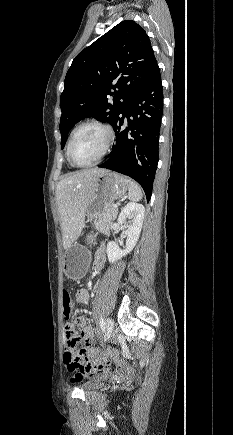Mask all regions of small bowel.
<instances>
[{
	"label": "small bowel",
	"mask_w": 233,
	"mask_h": 435,
	"mask_svg": "<svg viewBox=\"0 0 233 435\" xmlns=\"http://www.w3.org/2000/svg\"><path fill=\"white\" fill-rule=\"evenodd\" d=\"M106 261V255L103 249H100L95 254V259L93 262L92 267V273L98 274L101 272V270L104 267ZM75 299L78 304L85 305L88 303L90 299L89 291L85 288H81L77 290L75 294ZM73 323L76 324L81 328L82 331V338L85 342V347L81 349L83 351V359L81 364L74 370L70 371V373L76 375V376H91L93 374H101L102 370L100 372L96 371H88L86 370V365H84V361L86 358L94 357L95 351L92 349L93 343H94V329L87 324V318L85 316H78L74 318ZM67 349V348H66ZM106 358V355L102 358L104 360ZM121 371H128L129 367L127 366H121L119 367Z\"/></svg>",
	"instance_id": "obj_1"
}]
</instances>
